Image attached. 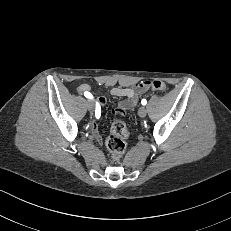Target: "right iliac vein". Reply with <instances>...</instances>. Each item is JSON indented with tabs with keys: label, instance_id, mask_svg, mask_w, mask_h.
<instances>
[{
	"label": "right iliac vein",
	"instance_id": "1",
	"mask_svg": "<svg viewBox=\"0 0 231 231\" xmlns=\"http://www.w3.org/2000/svg\"><path fill=\"white\" fill-rule=\"evenodd\" d=\"M87 108L91 113L94 112L95 104H94V102L92 100L87 101Z\"/></svg>",
	"mask_w": 231,
	"mask_h": 231
}]
</instances>
